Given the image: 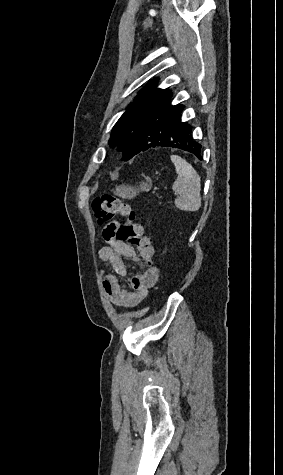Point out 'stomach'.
<instances>
[{
	"instance_id": "1",
	"label": "stomach",
	"mask_w": 283,
	"mask_h": 475,
	"mask_svg": "<svg viewBox=\"0 0 283 475\" xmlns=\"http://www.w3.org/2000/svg\"><path fill=\"white\" fill-rule=\"evenodd\" d=\"M152 188V180L145 178V182H140V186L132 188V186H118L114 194L119 198H125V200H132L135 196H138L139 192H149Z\"/></svg>"
}]
</instances>
